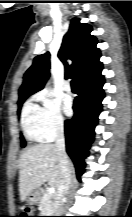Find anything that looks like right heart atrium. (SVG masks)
Returning <instances> with one entry per match:
<instances>
[{"label": "right heart atrium", "mask_w": 132, "mask_h": 217, "mask_svg": "<svg viewBox=\"0 0 132 217\" xmlns=\"http://www.w3.org/2000/svg\"><path fill=\"white\" fill-rule=\"evenodd\" d=\"M40 102V130L44 140H52L62 133L64 129V117L61 107L48 92L41 91L35 95Z\"/></svg>", "instance_id": "obj_1"}]
</instances>
